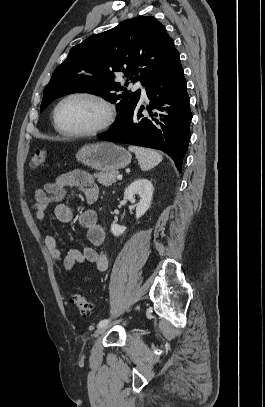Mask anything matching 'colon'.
<instances>
[{
  "mask_svg": "<svg viewBox=\"0 0 265 407\" xmlns=\"http://www.w3.org/2000/svg\"><path fill=\"white\" fill-rule=\"evenodd\" d=\"M46 163V151L43 149H36L30 160V166L32 168L44 167ZM71 302L78 308L80 314L87 317L93 310V304L80 294H75L72 297Z\"/></svg>",
  "mask_w": 265,
  "mask_h": 407,
  "instance_id": "5ec220e1",
  "label": "colon"
}]
</instances>
